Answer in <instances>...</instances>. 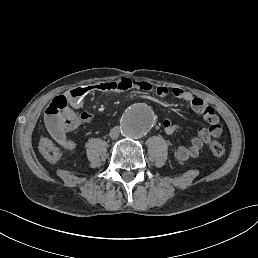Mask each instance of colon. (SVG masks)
Returning a JSON list of instances; mask_svg holds the SVG:
<instances>
[{
	"label": "colon",
	"mask_w": 258,
	"mask_h": 258,
	"mask_svg": "<svg viewBox=\"0 0 258 258\" xmlns=\"http://www.w3.org/2000/svg\"><path fill=\"white\" fill-rule=\"evenodd\" d=\"M81 123L82 117L73 113H66L63 117V125L67 130H74L78 128ZM209 148L212 154L218 159H221L225 154V145L218 140H211ZM39 150L43 158L50 163H55L60 157L59 148L48 138L40 140Z\"/></svg>",
	"instance_id": "5ec220e1"
}]
</instances>
